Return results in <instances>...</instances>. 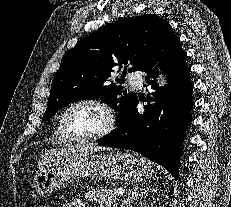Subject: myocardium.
<instances>
[{
    "mask_svg": "<svg viewBox=\"0 0 231 207\" xmlns=\"http://www.w3.org/2000/svg\"><path fill=\"white\" fill-rule=\"evenodd\" d=\"M81 104H90L99 108L105 116V125L98 132L86 136V137H76L71 134L67 126V115L76 106ZM117 118L113 108L105 101L96 97H83L71 102L62 112L60 116V127L61 131L66 139L75 143H88L97 141L107 135H109L116 127Z\"/></svg>",
    "mask_w": 231,
    "mask_h": 207,
    "instance_id": "1",
    "label": "myocardium"
}]
</instances>
